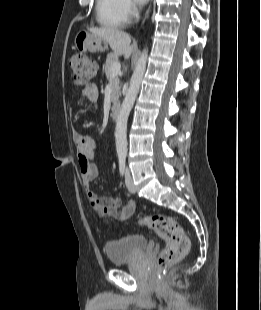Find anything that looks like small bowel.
<instances>
[{
    "label": "small bowel",
    "mask_w": 261,
    "mask_h": 310,
    "mask_svg": "<svg viewBox=\"0 0 261 310\" xmlns=\"http://www.w3.org/2000/svg\"><path fill=\"white\" fill-rule=\"evenodd\" d=\"M82 93L91 102L97 101L98 91L94 84L86 85ZM73 139L77 145V162L81 185L90 209L101 216L112 217L120 222L129 218L135 211L134 201L130 200L122 204L118 198L97 196L91 190V182L98 174L96 166L92 163L98 146L97 141L76 129L73 130Z\"/></svg>",
    "instance_id": "1"
}]
</instances>
